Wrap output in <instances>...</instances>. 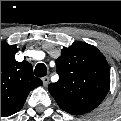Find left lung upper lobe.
Masks as SVG:
<instances>
[{"instance_id":"1","label":"left lung upper lobe","mask_w":121,"mask_h":121,"mask_svg":"<svg viewBox=\"0 0 121 121\" xmlns=\"http://www.w3.org/2000/svg\"><path fill=\"white\" fill-rule=\"evenodd\" d=\"M59 80L48 87L57 104L71 114L93 110L110 87V70L104 55L93 45L76 42L62 49L56 60Z\"/></svg>"}]
</instances>
